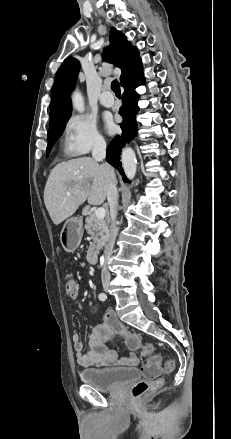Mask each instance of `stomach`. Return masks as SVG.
I'll return each instance as SVG.
<instances>
[{
	"label": "stomach",
	"instance_id": "0dacf381",
	"mask_svg": "<svg viewBox=\"0 0 231 439\" xmlns=\"http://www.w3.org/2000/svg\"><path fill=\"white\" fill-rule=\"evenodd\" d=\"M83 236V224L80 218L72 217L66 220L61 233L60 242L67 252H74Z\"/></svg>",
	"mask_w": 231,
	"mask_h": 439
}]
</instances>
